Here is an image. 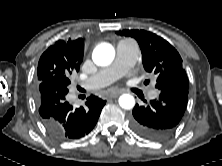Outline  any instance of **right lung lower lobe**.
<instances>
[{"mask_svg": "<svg viewBox=\"0 0 222 166\" xmlns=\"http://www.w3.org/2000/svg\"><path fill=\"white\" fill-rule=\"evenodd\" d=\"M36 101L43 125L60 141L79 139L96 125L106 101L91 95L84 107L73 108L66 101L68 88L54 80L38 83Z\"/></svg>", "mask_w": 222, "mask_h": 166, "instance_id": "right-lung-lower-lobe-1", "label": "right lung lower lobe"}]
</instances>
